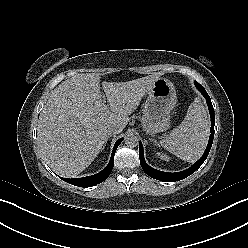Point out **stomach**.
I'll use <instances>...</instances> for the list:
<instances>
[{
    "label": "stomach",
    "instance_id": "obj_1",
    "mask_svg": "<svg viewBox=\"0 0 248 248\" xmlns=\"http://www.w3.org/2000/svg\"><path fill=\"white\" fill-rule=\"evenodd\" d=\"M147 94L141 123L146 134L155 136L169 126V114L177 101L176 91L168 79L158 78L147 90Z\"/></svg>",
    "mask_w": 248,
    "mask_h": 248
}]
</instances>
